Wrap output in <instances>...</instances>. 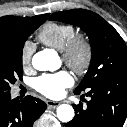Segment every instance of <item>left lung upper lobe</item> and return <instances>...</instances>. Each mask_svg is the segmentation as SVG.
Wrapping results in <instances>:
<instances>
[{
	"instance_id": "1",
	"label": "left lung upper lobe",
	"mask_w": 127,
	"mask_h": 127,
	"mask_svg": "<svg viewBox=\"0 0 127 127\" xmlns=\"http://www.w3.org/2000/svg\"><path fill=\"white\" fill-rule=\"evenodd\" d=\"M49 20L79 26L89 37L92 58L89 69L74 93L103 84L127 86V48L118 32L96 13L83 9L56 12Z\"/></svg>"
}]
</instances>
